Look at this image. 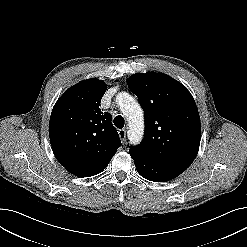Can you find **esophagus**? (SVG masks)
<instances>
[{"mask_svg": "<svg viewBox=\"0 0 247 247\" xmlns=\"http://www.w3.org/2000/svg\"><path fill=\"white\" fill-rule=\"evenodd\" d=\"M118 134H119V137H120L122 143L124 144L126 141V130L125 129H119Z\"/></svg>", "mask_w": 247, "mask_h": 247, "instance_id": "34e87169", "label": "esophagus"}]
</instances>
